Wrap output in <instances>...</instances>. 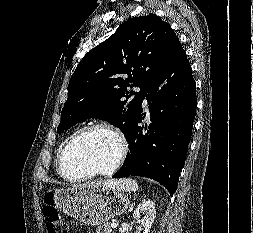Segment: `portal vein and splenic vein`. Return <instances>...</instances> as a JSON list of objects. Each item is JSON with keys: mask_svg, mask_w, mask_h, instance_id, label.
Listing matches in <instances>:
<instances>
[{"mask_svg": "<svg viewBox=\"0 0 253 233\" xmlns=\"http://www.w3.org/2000/svg\"><path fill=\"white\" fill-rule=\"evenodd\" d=\"M111 227H112V228H116V227H117V224H116L115 222H113V223L111 224Z\"/></svg>", "mask_w": 253, "mask_h": 233, "instance_id": "18ae733b", "label": "portal vein and splenic vein"}]
</instances>
